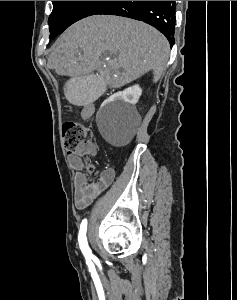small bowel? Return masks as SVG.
<instances>
[{
	"label": "small bowel",
	"instance_id": "c3829d8e",
	"mask_svg": "<svg viewBox=\"0 0 237 300\" xmlns=\"http://www.w3.org/2000/svg\"><path fill=\"white\" fill-rule=\"evenodd\" d=\"M94 105L87 103L82 108V117L87 119L92 116ZM95 146H91L86 155L95 156ZM69 162L74 169V204L77 209L88 207L101 193H103L115 180V170L111 167L102 169L94 181H89L83 173V162L79 155L69 156Z\"/></svg>",
	"mask_w": 237,
	"mask_h": 300
}]
</instances>
